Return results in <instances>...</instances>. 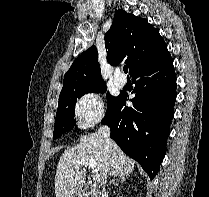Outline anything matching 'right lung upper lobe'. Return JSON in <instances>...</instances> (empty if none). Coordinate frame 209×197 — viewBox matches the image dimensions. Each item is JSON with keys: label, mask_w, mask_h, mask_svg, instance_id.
I'll use <instances>...</instances> for the list:
<instances>
[{"label": "right lung upper lobe", "mask_w": 209, "mask_h": 197, "mask_svg": "<svg viewBox=\"0 0 209 197\" xmlns=\"http://www.w3.org/2000/svg\"><path fill=\"white\" fill-rule=\"evenodd\" d=\"M105 48L108 62L117 65L124 61L130 75L167 50L157 29L146 19L122 9L115 12L112 26L105 35ZM102 82L104 81L98 63L97 49L92 46L78 56L66 72L62 90L72 86Z\"/></svg>", "instance_id": "right-lung-upper-lobe-1"}]
</instances>
